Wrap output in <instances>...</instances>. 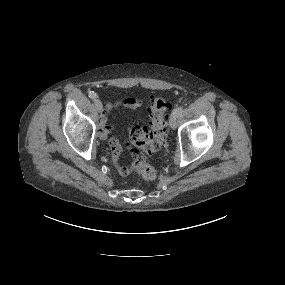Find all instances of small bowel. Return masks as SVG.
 Returning <instances> with one entry per match:
<instances>
[{
  "label": "small bowel",
  "mask_w": 285,
  "mask_h": 285,
  "mask_svg": "<svg viewBox=\"0 0 285 285\" xmlns=\"http://www.w3.org/2000/svg\"><path fill=\"white\" fill-rule=\"evenodd\" d=\"M142 105H143L142 100L134 97H124L113 102H108L105 106L104 112L100 119V129L98 131V136L101 139H107L109 137L111 129L109 127H106L105 123L107 121V118L114 111L122 107L140 108ZM109 143L111 148H113V150H111L112 160L116 170L122 176L128 175L130 173V169L120 162L121 146L119 141L115 138H110Z\"/></svg>",
  "instance_id": "c3829d8e"
}]
</instances>
